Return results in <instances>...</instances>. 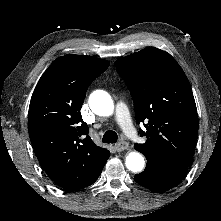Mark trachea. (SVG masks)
<instances>
[{"label": "trachea", "mask_w": 221, "mask_h": 221, "mask_svg": "<svg viewBox=\"0 0 221 221\" xmlns=\"http://www.w3.org/2000/svg\"><path fill=\"white\" fill-rule=\"evenodd\" d=\"M118 139L117 133L112 130H108L103 135L102 141L103 143H116Z\"/></svg>", "instance_id": "3493384b"}]
</instances>
